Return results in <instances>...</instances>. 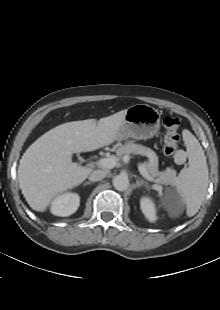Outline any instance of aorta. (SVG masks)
<instances>
[{
	"instance_id": "762f6f07",
	"label": "aorta",
	"mask_w": 220,
	"mask_h": 310,
	"mask_svg": "<svg viewBox=\"0 0 220 310\" xmlns=\"http://www.w3.org/2000/svg\"><path fill=\"white\" fill-rule=\"evenodd\" d=\"M113 186L118 191H125L129 186V180L127 176L117 175L113 179Z\"/></svg>"
}]
</instances>
